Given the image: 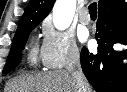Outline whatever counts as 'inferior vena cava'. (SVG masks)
Masks as SVG:
<instances>
[{
	"label": "inferior vena cava",
	"instance_id": "inferior-vena-cava-1",
	"mask_svg": "<svg viewBox=\"0 0 127 92\" xmlns=\"http://www.w3.org/2000/svg\"><path fill=\"white\" fill-rule=\"evenodd\" d=\"M66 69L76 82L77 92H87L89 85L82 72L80 64V53L77 49H72L70 51Z\"/></svg>",
	"mask_w": 127,
	"mask_h": 92
}]
</instances>
